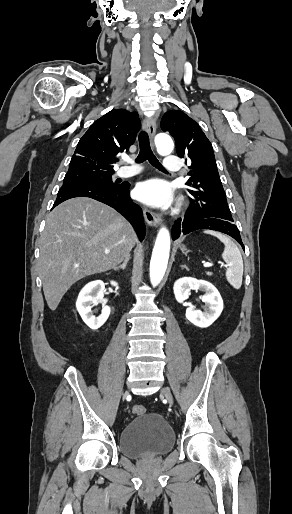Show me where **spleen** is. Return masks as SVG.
<instances>
[{"instance_id": "spleen-1", "label": "spleen", "mask_w": 292, "mask_h": 514, "mask_svg": "<svg viewBox=\"0 0 292 514\" xmlns=\"http://www.w3.org/2000/svg\"><path fill=\"white\" fill-rule=\"evenodd\" d=\"M204 234H211V236H215L220 242H223L225 248L222 258L229 266L226 272V280L235 290H239L243 280V260L240 250H238L236 244L231 242L230 238H227L224 234L211 232V230H205Z\"/></svg>"}]
</instances>
